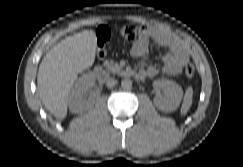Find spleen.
<instances>
[{
    "label": "spleen",
    "instance_id": "1",
    "mask_svg": "<svg viewBox=\"0 0 243 167\" xmlns=\"http://www.w3.org/2000/svg\"><path fill=\"white\" fill-rule=\"evenodd\" d=\"M192 96H193V89L192 87H188L185 95H184V99H183V103H182V107H181V114L185 115L188 110L190 109L191 105H192Z\"/></svg>",
    "mask_w": 243,
    "mask_h": 167
}]
</instances>
